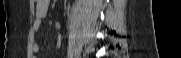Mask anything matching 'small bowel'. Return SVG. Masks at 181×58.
Returning a JSON list of instances; mask_svg holds the SVG:
<instances>
[{
    "label": "small bowel",
    "mask_w": 181,
    "mask_h": 58,
    "mask_svg": "<svg viewBox=\"0 0 181 58\" xmlns=\"http://www.w3.org/2000/svg\"><path fill=\"white\" fill-rule=\"evenodd\" d=\"M49 5H50L49 0H37L36 8H35V19L33 22V31L35 33L39 31L42 21L46 17ZM32 49L35 53H37L40 50L39 43L35 41L32 45Z\"/></svg>",
    "instance_id": "small-bowel-1"
}]
</instances>
